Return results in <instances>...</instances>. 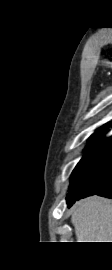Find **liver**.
<instances>
[{
    "instance_id": "liver-1",
    "label": "liver",
    "mask_w": 112,
    "mask_h": 270,
    "mask_svg": "<svg viewBox=\"0 0 112 270\" xmlns=\"http://www.w3.org/2000/svg\"><path fill=\"white\" fill-rule=\"evenodd\" d=\"M71 223L77 242H112V203L87 198L74 208Z\"/></svg>"
}]
</instances>
